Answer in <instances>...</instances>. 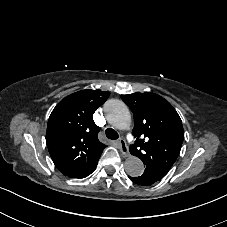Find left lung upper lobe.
<instances>
[{
  "instance_id": "1",
  "label": "left lung upper lobe",
  "mask_w": 227,
  "mask_h": 227,
  "mask_svg": "<svg viewBox=\"0 0 227 227\" xmlns=\"http://www.w3.org/2000/svg\"><path fill=\"white\" fill-rule=\"evenodd\" d=\"M133 112V135L137 137L130 153L140 158L146 171L164 177L179 156L184 130L182 121L163 97L151 93L121 95ZM141 137V139H140Z\"/></svg>"
}]
</instances>
